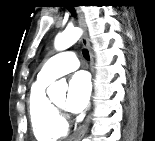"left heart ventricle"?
<instances>
[{"instance_id":"1","label":"left heart ventricle","mask_w":155,"mask_h":141,"mask_svg":"<svg viewBox=\"0 0 155 141\" xmlns=\"http://www.w3.org/2000/svg\"><path fill=\"white\" fill-rule=\"evenodd\" d=\"M54 102H55L58 106L64 107L65 98L63 97V98H61V99H59V100H55Z\"/></svg>"}]
</instances>
